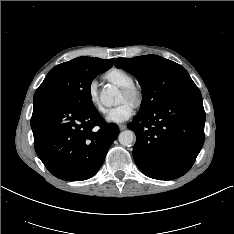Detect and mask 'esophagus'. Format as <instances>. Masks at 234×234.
Returning a JSON list of instances; mask_svg holds the SVG:
<instances>
[{"label":"esophagus","instance_id":"esophagus-1","mask_svg":"<svg viewBox=\"0 0 234 234\" xmlns=\"http://www.w3.org/2000/svg\"><path fill=\"white\" fill-rule=\"evenodd\" d=\"M126 128H127V126L125 124H120L119 125L120 130H125Z\"/></svg>","mask_w":234,"mask_h":234}]
</instances>
